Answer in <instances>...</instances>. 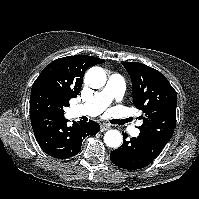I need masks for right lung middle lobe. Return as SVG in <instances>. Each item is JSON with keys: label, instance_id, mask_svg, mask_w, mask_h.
Listing matches in <instances>:
<instances>
[{"label": "right lung middle lobe", "instance_id": "1", "mask_svg": "<svg viewBox=\"0 0 199 199\" xmlns=\"http://www.w3.org/2000/svg\"><path fill=\"white\" fill-rule=\"evenodd\" d=\"M67 106L56 94L49 91H37L30 97V114L49 113L63 116V108Z\"/></svg>", "mask_w": 199, "mask_h": 199}]
</instances>
